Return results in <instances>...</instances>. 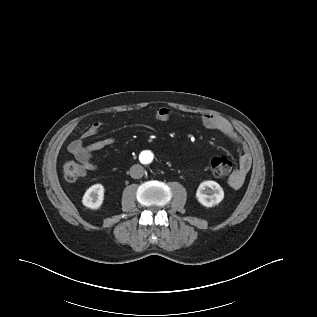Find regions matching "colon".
Masks as SVG:
<instances>
[{
	"mask_svg": "<svg viewBox=\"0 0 317 317\" xmlns=\"http://www.w3.org/2000/svg\"><path fill=\"white\" fill-rule=\"evenodd\" d=\"M232 167V161L225 156L215 157L210 161V171L215 177L227 176L232 171ZM86 172L85 166L73 160H67L63 164V173L68 181L74 182L83 177Z\"/></svg>",
	"mask_w": 317,
	"mask_h": 317,
	"instance_id": "5ec220e1",
	"label": "colon"
}]
</instances>
